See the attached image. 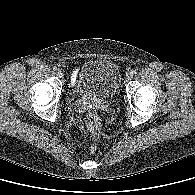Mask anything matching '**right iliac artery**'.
Returning <instances> with one entry per match:
<instances>
[{"label": "right iliac artery", "mask_w": 195, "mask_h": 195, "mask_svg": "<svg viewBox=\"0 0 195 195\" xmlns=\"http://www.w3.org/2000/svg\"><path fill=\"white\" fill-rule=\"evenodd\" d=\"M53 70H57V67H56V66H54V67H53Z\"/></svg>", "instance_id": "obj_1"}]
</instances>
